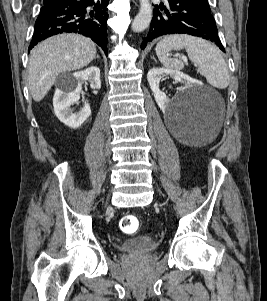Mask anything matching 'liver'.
<instances>
[{
	"label": "liver",
	"instance_id": "1",
	"mask_svg": "<svg viewBox=\"0 0 267 301\" xmlns=\"http://www.w3.org/2000/svg\"><path fill=\"white\" fill-rule=\"evenodd\" d=\"M96 57L95 43L82 35L64 33L39 43L32 51L28 67V84L34 101H41L57 76L79 70Z\"/></svg>",
	"mask_w": 267,
	"mask_h": 301
}]
</instances>
